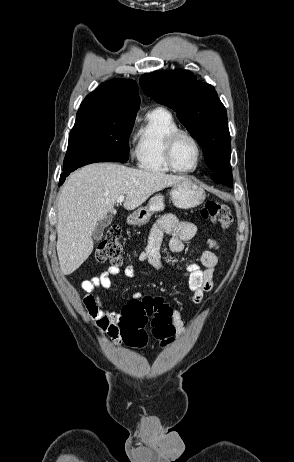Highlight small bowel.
<instances>
[{"label": "small bowel", "instance_id": "obj_1", "mask_svg": "<svg viewBox=\"0 0 294 462\" xmlns=\"http://www.w3.org/2000/svg\"><path fill=\"white\" fill-rule=\"evenodd\" d=\"M196 232L197 229L193 223L180 220L173 214H165L160 217L152 228L146 249L140 254L139 260L147 262L158 271H163L161 257L165 252L162 245L164 234L171 236L167 250L170 253H179L184 250L185 243L191 240L196 235ZM208 246L210 249L201 254L199 263H189L185 268L184 277L187 280L192 301L196 304L200 303L204 293L210 291L213 287V277L218 262L215 251L218 250L219 245L215 240L210 239L208 240ZM119 272V267L113 265L101 274L81 283V288L85 293L83 302L89 316L99 331L115 346H120L124 343L119 327L121 313L116 309L106 308L98 291L109 290L112 286V277L118 275ZM124 275L128 278H133L136 275L135 267L133 265L127 266L124 269ZM172 322L178 334L185 332L184 320L181 312L177 309L172 312Z\"/></svg>", "mask_w": 294, "mask_h": 462}]
</instances>
